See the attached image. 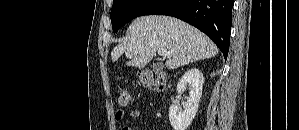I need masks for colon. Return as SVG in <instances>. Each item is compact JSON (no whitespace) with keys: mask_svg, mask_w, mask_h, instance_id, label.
<instances>
[{"mask_svg":"<svg viewBox=\"0 0 299 130\" xmlns=\"http://www.w3.org/2000/svg\"><path fill=\"white\" fill-rule=\"evenodd\" d=\"M137 77L142 86L149 89H162L168 83V74L163 71H154V70H140L137 73ZM118 102L122 106H126L130 99L131 95L127 88L120 87L117 92Z\"/></svg>","mask_w":299,"mask_h":130,"instance_id":"colon-1","label":"colon"}]
</instances>
